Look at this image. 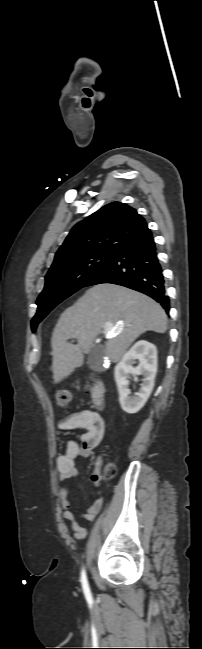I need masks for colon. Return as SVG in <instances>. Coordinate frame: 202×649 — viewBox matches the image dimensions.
Returning a JSON list of instances; mask_svg holds the SVG:
<instances>
[{
	"label": "colon",
	"instance_id": "5ec220e1",
	"mask_svg": "<svg viewBox=\"0 0 202 649\" xmlns=\"http://www.w3.org/2000/svg\"><path fill=\"white\" fill-rule=\"evenodd\" d=\"M55 400L59 406L67 407L71 401V392L67 389H58L55 392ZM96 466L102 470L106 478L114 476L116 472V468L112 463L104 462L101 458L96 459Z\"/></svg>",
	"mask_w": 202,
	"mask_h": 649
}]
</instances>
